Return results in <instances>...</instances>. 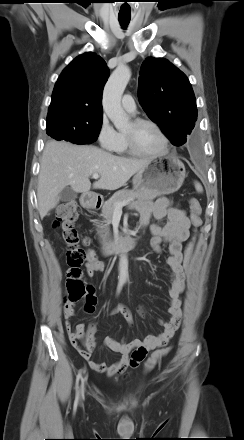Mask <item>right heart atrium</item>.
Returning a JSON list of instances; mask_svg holds the SVG:
<instances>
[{
  "label": "right heart atrium",
  "mask_w": 244,
  "mask_h": 440,
  "mask_svg": "<svg viewBox=\"0 0 244 440\" xmlns=\"http://www.w3.org/2000/svg\"><path fill=\"white\" fill-rule=\"evenodd\" d=\"M118 133L103 115L97 132V140L100 146L106 150H112L117 143Z\"/></svg>",
  "instance_id": "d8ad5b80"
}]
</instances>
